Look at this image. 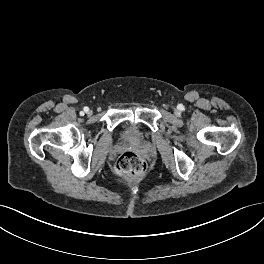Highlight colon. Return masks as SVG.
<instances>
[{
    "label": "colon",
    "instance_id": "1",
    "mask_svg": "<svg viewBox=\"0 0 264 264\" xmlns=\"http://www.w3.org/2000/svg\"><path fill=\"white\" fill-rule=\"evenodd\" d=\"M144 159L134 152H124L119 156L115 164L116 173L125 179L139 178L145 171Z\"/></svg>",
    "mask_w": 264,
    "mask_h": 264
}]
</instances>
